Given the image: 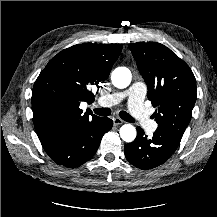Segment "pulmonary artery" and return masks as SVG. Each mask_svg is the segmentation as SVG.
Wrapping results in <instances>:
<instances>
[{"label":"pulmonary artery","mask_w":217,"mask_h":217,"mask_svg":"<svg viewBox=\"0 0 217 217\" xmlns=\"http://www.w3.org/2000/svg\"><path fill=\"white\" fill-rule=\"evenodd\" d=\"M145 94L146 86L141 82H136L127 91L116 92L101 97L99 103L102 106L108 107L121 102L123 99H127L128 109L133 118L140 122L144 128L155 130L157 124L150 118L144 106Z\"/></svg>","instance_id":"1"}]
</instances>
